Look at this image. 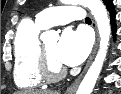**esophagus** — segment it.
I'll return each mask as SVG.
<instances>
[{
    "label": "esophagus",
    "mask_w": 121,
    "mask_h": 94,
    "mask_svg": "<svg viewBox=\"0 0 121 94\" xmlns=\"http://www.w3.org/2000/svg\"><path fill=\"white\" fill-rule=\"evenodd\" d=\"M93 24V27L95 28V31H96V41H95V45H94V48L92 50V53L86 63V66L85 68L83 69L82 73L76 78V80L66 89L65 91V94H75L84 74L86 73L87 69L89 68L94 56H95V53H96V50H97V47H98V42H99V38H98V33H97V28H96V23L93 21L92 22Z\"/></svg>",
    "instance_id": "1"
}]
</instances>
